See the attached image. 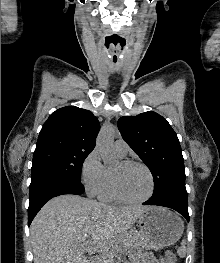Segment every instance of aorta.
Returning <instances> with one entry per match:
<instances>
[{
	"mask_svg": "<svg viewBox=\"0 0 220 263\" xmlns=\"http://www.w3.org/2000/svg\"><path fill=\"white\" fill-rule=\"evenodd\" d=\"M113 132L114 130L112 127H105L97 137L96 146L105 165L111 164L115 161L112 154Z\"/></svg>",
	"mask_w": 220,
	"mask_h": 263,
	"instance_id": "obj_1",
	"label": "aorta"
}]
</instances>
